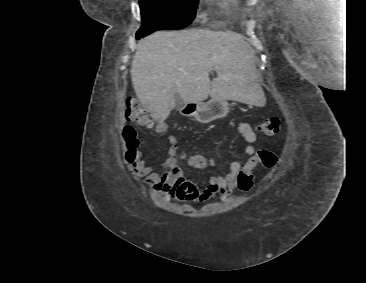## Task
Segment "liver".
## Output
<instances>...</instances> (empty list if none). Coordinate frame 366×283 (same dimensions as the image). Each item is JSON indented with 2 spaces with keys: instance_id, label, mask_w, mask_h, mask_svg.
<instances>
[{
  "instance_id": "liver-1",
  "label": "liver",
  "mask_w": 366,
  "mask_h": 283,
  "mask_svg": "<svg viewBox=\"0 0 366 283\" xmlns=\"http://www.w3.org/2000/svg\"><path fill=\"white\" fill-rule=\"evenodd\" d=\"M211 71L217 73L213 80ZM130 73L137 98L161 122L176 106L175 93L184 104L209 96L254 106L265 102L255 52L231 31H157L138 43Z\"/></svg>"
}]
</instances>
